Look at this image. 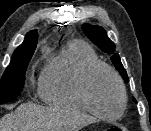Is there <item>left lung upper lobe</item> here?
Returning <instances> with one entry per match:
<instances>
[{
  "mask_svg": "<svg viewBox=\"0 0 151 131\" xmlns=\"http://www.w3.org/2000/svg\"><path fill=\"white\" fill-rule=\"evenodd\" d=\"M82 29L87 37L96 44L102 51L106 53H114L115 45L114 43L107 37L105 30L100 26H92L89 24H83ZM111 61L114 64L115 68L119 71L123 79L128 82L129 79L127 77L126 70L124 69L120 57L117 53H114L111 56ZM133 100L136 102L135 98Z\"/></svg>",
  "mask_w": 151,
  "mask_h": 131,
  "instance_id": "5c2ea615",
  "label": "left lung upper lobe"
}]
</instances>
